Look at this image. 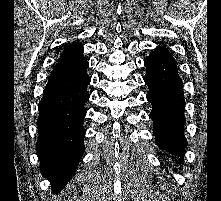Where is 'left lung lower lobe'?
<instances>
[{
    "instance_id": "left-lung-lower-lobe-1",
    "label": "left lung lower lobe",
    "mask_w": 221,
    "mask_h": 201,
    "mask_svg": "<svg viewBox=\"0 0 221 201\" xmlns=\"http://www.w3.org/2000/svg\"><path fill=\"white\" fill-rule=\"evenodd\" d=\"M147 73L144 81L149 88L146 95L152 104L150 118L153 120V134L159 148L180 156L182 163L184 147L187 144L183 128L184 97L183 85L178 75L176 62L156 54L144 60Z\"/></svg>"
}]
</instances>
